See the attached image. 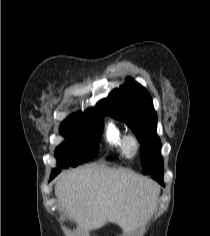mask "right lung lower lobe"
Here are the masks:
<instances>
[{
	"label": "right lung lower lobe",
	"mask_w": 210,
	"mask_h": 236,
	"mask_svg": "<svg viewBox=\"0 0 210 236\" xmlns=\"http://www.w3.org/2000/svg\"><path fill=\"white\" fill-rule=\"evenodd\" d=\"M59 172V169H54L51 173L50 180H52Z\"/></svg>",
	"instance_id": "right-lung-lower-lobe-1"
}]
</instances>
